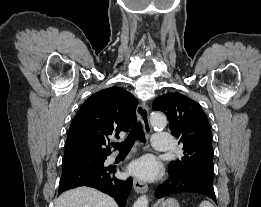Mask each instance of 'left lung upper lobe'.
<instances>
[{"label": "left lung upper lobe", "instance_id": "obj_1", "mask_svg": "<svg viewBox=\"0 0 261 207\" xmlns=\"http://www.w3.org/2000/svg\"><path fill=\"white\" fill-rule=\"evenodd\" d=\"M152 108L167 115L172 134L183 146L184 155L171 161L168 171L199 176L213 182L212 133L201 106L180 93H167L156 98Z\"/></svg>", "mask_w": 261, "mask_h": 207}]
</instances>
